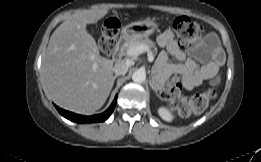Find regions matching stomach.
<instances>
[{"label":"stomach","mask_w":261,"mask_h":162,"mask_svg":"<svg viewBox=\"0 0 261 162\" xmlns=\"http://www.w3.org/2000/svg\"><path fill=\"white\" fill-rule=\"evenodd\" d=\"M158 27L154 20L132 22L122 28V35L128 40L146 38Z\"/></svg>","instance_id":"stomach-1"}]
</instances>
